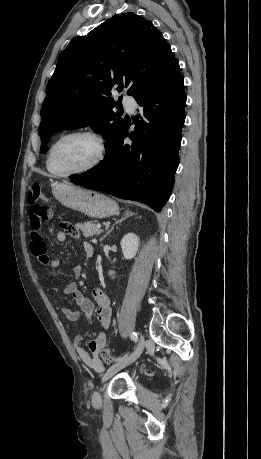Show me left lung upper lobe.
Instances as JSON below:
<instances>
[{"label": "left lung upper lobe", "instance_id": "obj_1", "mask_svg": "<svg viewBox=\"0 0 261 459\" xmlns=\"http://www.w3.org/2000/svg\"><path fill=\"white\" fill-rule=\"evenodd\" d=\"M176 61L154 25L123 13L75 37L60 54L41 110L43 152L56 130L90 126L107 140V149L124 129L111 89L136 98L155 84Z\"/></svg>", "mask_w": 261, "mask_h": 459}]
</instances>
